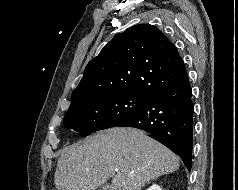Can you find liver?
I'll use <instances>...</instances> for the list:
<instances>
[{
	"instance_id": "obj_1",
	"label": "liver",
	"mask_w": 238,
	"mask_h": 190,
	"mask_svg": "<svg viewBox=\"0 0 238 190\" xmlns=\"http://www.w3.org/2000/svg\"><path fill=\"white\" fill-rule=\"evenodd\" d=\"M179 165L178 156L143 131L114 127L65 148L54 182L58 190H96L111 178L109 190H142Z\"/></svg>"
}]
</instances>
